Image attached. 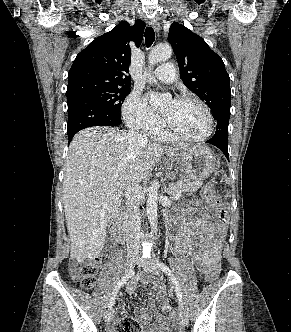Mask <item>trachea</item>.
<instances>
[{
    "label": "trachea",
    "mask_w": 291,
    "mask_h": 332,
    "mask_svg": "<svg viewBox=\"0 0 291 332\" xmlns=\"http://www.w3.org/2000/svg\"><path fill=\"white\" fill-rule=\"evenodd\" d=\"M155 40V32L152 27H147L145 30V43L147 47H150Z\"/></svg>",
    "instance_id": "obj_1"
}]
</instances>
